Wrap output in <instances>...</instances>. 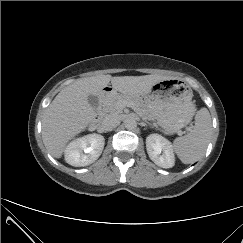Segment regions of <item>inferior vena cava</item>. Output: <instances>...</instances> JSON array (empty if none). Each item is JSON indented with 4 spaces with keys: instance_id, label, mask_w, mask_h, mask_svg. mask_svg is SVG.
<instances>
[{
    "instance_id": "inferior-vena-cava-1",
    "label": "inferior vena cava",
    "mask_w": 243,
    "mask_h": 243,
    "mask_svg": "<svg viewBox=\"0 0 243 243\" xmlns=\"http://www.w3.org/2000/svg\"><path fill=\"white\" fill-rule=\"evenodd\" d=\"M119 124V119L115 115H107L101 122V128L105 131H111Z\"/></svg>"
}]
</instances>
